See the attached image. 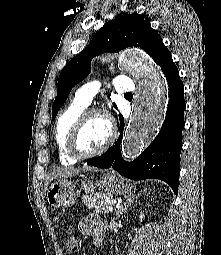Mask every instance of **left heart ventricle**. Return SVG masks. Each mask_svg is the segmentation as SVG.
Segmentation results:
<instances>
[{
	"mask_svg": "<svg viewBox=\"0 0 221 255\" xmlns=\"http://www.w3.org/2000/svg\"><path fill=\"white\" fill-rule=\"evenodd\" d=\"M108 125L99 116H92L84 125L80 138L79 148L82 152L89 153L99 149L108 137Z\"/></svg>",
	"mask_w": 221,
	"mask_h": 255,
	"instance_id": "1",
	"label": "left heart ventricle"
}]
</instances>
